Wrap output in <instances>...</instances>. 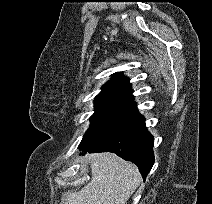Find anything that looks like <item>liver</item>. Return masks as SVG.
I'll return each instance as SVG.
<instances>
[{"label":"liver","mask_w":212,"mask_h":204,"mask_svg":"<svg viewBox=\"0 0 212 204\" xmlns=\"http://www.w3.org/2000/svg\"><path fill=\"white\" fill-rule=\"evenodd\" d=\"M91 181L78 192H66L61 204H126L142 181L138 168L113 153L87 155Z\"/></svg>","instance_id":"obj_1"}]
</instances>
